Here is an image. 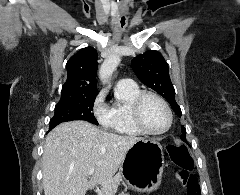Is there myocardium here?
<instances>
[{"label":"myocardium","instance_id":"myocardium-1","mask_svg":"<svg viewBox=\"0 0 240 195\" xmlns=\"http://www.w3.org/2000/svg\"><path fill=\"white\" fill-rule=\"evenodd\" d=\"M147 97H152V98L156 99L161 104V106L163 107V110L165 112L166 124L160 130H152V129L148 128L143 121L142 106H143L144 100ZM132 114H133V119H134L136 126L140 129V131L142 133L147 134V135H162V134L166 133L170 129L171 124H172V119H173L171 109H170L168 103L166 102V100L162 96L157 94L156 92L149 91V90L140 91L135 96V98L133 100V105H132Z\"/></svg>","mask_w":240,"mask_h":195}]
</instances>
